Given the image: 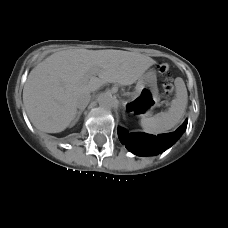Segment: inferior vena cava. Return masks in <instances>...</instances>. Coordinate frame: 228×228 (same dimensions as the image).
<instances>
[{
	"instance_id": "602c4592",
	"label": "inferior vena cava",
	"mask_w": 228,
	"mask_h": 228,
	"mask_svg": "<svg viewBox=\"0 0 228 228\" xmlns=\"http://www.w3.org/2000/svg\"><path fill=\"white\" fill-rule=\"evenodd\" d=\"M91 99L90 92H80L75 97L76 107L81 109H85L89 104Z\"/></svg>"
}]
</instances>
